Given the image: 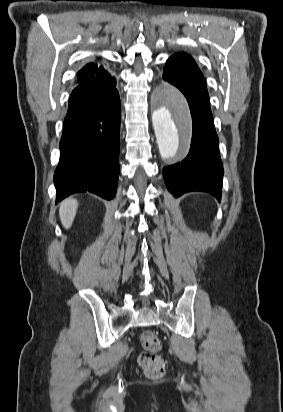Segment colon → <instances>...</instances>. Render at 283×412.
Wrapping results in <instances>:
<instances>
[{
  "label": "colon",
  "mask_w": 283,
  "mask_h": 412,
  "mask_svg": "<svg viewBox=\"0 0 283 412\" xmlns=\"http://www.w3.org/2000/svg\"><path fill=\"white\" fill-rule=\"evenodd\" d=\"M143 351L138 356V364L146 376L152 379L161 378L165 373V361L159 355L162 343L151 330H145L140 335Z\"/></svg>",
  "instance_id": "1"
}]
</instances>
